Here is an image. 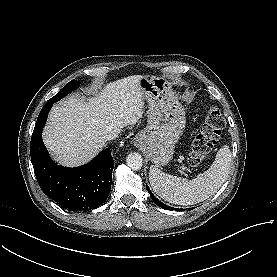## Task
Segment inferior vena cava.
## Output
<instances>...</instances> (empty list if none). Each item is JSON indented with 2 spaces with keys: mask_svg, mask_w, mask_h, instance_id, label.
Masks as SVG:
<instances>
[{
  "mask_svg": "<svg viewBox=\"0 0 277 277\" xmlns=\"http://www.w3.org/2000/svg\"><path fill=\"white\" fill-rule=\"evenodd\" d=\"M118 136V133L116 132H111L107 135V140H113V139H116V137Z\"/></svg>",
  "mask_w": 277,
  "mask_h": 277,
  "instance_id": "1",
  "label": "inferior vena cava"
}]
</instances>
